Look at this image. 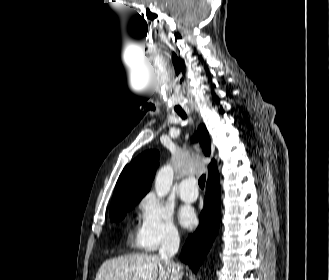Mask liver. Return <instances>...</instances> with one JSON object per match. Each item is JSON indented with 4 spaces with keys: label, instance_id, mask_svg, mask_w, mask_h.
<instances>
[{
    "label": "liver",
    "instance_id": "1",
    "mask_svg": "<svg viewBox=\"0 0 329 280\" xmlns=\"http://www.w3.org/2000/svg\"><path fill=\"white\" fill-rule=\"evenodd\" d=\"M178 271L167 265L160 256L131 254L106 260L95 280H181Z\"/></svg>",
    "mask_w": 329,
    "mask_h": 280
}]
</instances>
